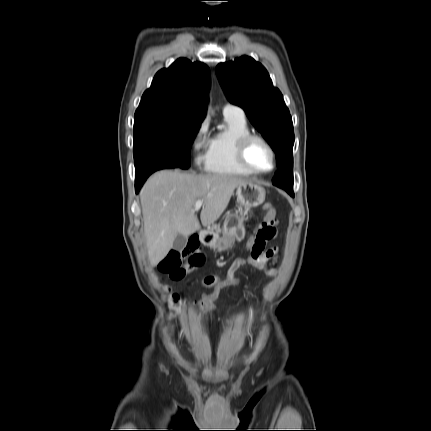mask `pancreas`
Returning a JSON list of instances; mask_svg holds the SVG:
<instances>
[{
    "label": "pancreas",
    "mask_w": 431,
    "mask_h": 431,
    "mask_svg": "<svg viewBox=\"0 0 431 431\" xmlns=\"http://www.w3.org/2000/svg\"><path fill=\"white\" fill-rule=\"evenodd\" d=\"M214 228H215L217 231H220V230H219V228H217L216 226H214Z\"/></svg>",
    "instance_id": "cf45deb5"
}]
</instances>
